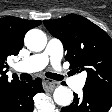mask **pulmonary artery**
Returning <instances> with one entry per match:
<instances>
[{
  "mask_svg": "<svg viewBox=\"0 0 112 112\" xmlns=\"http://www.w3.org/2000/svg\"><path fill=\"white\" fill-rule=\"evenodd\" d=\"M63 44L58 39H50L46 49L39 54L32 55L15 64L14 68L22 72H36L42 70L49 63L57 67L63 56ZM66 82L74 90H81L84 80L81 76L65 77Z\"/></svg>",
  "mask_w": 112,
  "mask_h": 112,
  "instance_id": "1",
  "label": "pulmonary artery"
}]
</instances>
